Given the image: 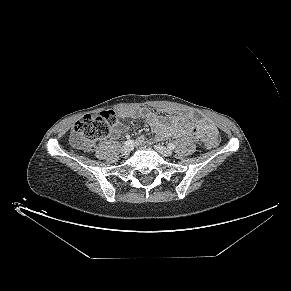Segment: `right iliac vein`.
I'll list each match as a JSON object with an SVG mask.
<instances>
[{
	"label": "right iliac vein",
	"instance_id": "right-iliac-vein-1",
	"mask_svg": "<svg viewBox=\"0 0 291 291\" xmlns=\"http://www.w3.org/2000/svg\"><path fill=\"white\" fill-rule=\"evenodd\" d=\"M130 151H131V149H130V147L129 146H123L122 148H121V154L122 155H129V153H130Z\"/></svg>",
	"mask_w": 291,
	"mask_h": 291
}]
</instances>
